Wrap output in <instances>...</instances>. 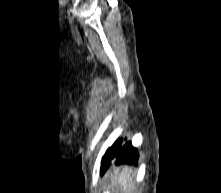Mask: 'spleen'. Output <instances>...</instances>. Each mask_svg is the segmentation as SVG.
<instances>
[{
    "mask_svg": "<svg viewBox=\"0 0 221 193\" xmlns=\"http://www.w3.org/2000/svg\"><path fill=\"white\" fill-rule=\"evenodd\" d=\"M129 171H130L129 167H123L121 172L119 173V169L116 168L115 169V176H113L114 185L117 183L121 184L123 186L124 190H126L127 183L132 182V179L129 176Z\"/></svg>",
    "mask_w": 221,
    "mask_h": 193,
    "instance_id": "spleen-1",
    "label": "spleen"
}]
</instances>
